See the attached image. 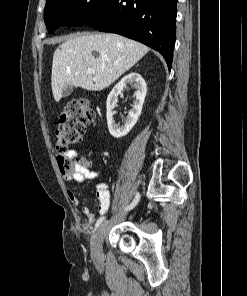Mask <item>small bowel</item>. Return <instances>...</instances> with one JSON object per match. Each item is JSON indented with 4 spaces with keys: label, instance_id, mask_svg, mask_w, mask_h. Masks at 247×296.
Wrapping results in <instances>:
<instances>
[{
    "label": "small bowel",
    "instance_id": "obj_1",
    "mask_svg": "<svg viewBox=\"0 0 247 296\" xmlns=\"http://www.w3.org/2000/svg\"><path fill=\"white\" fill-rule=\"evenodd\" d=\"M77 155H78V153L74 150H69L66 152V156L71 159L76 158ZM62 174H63L64 179H66V180L72 179L76 182H82L85 179L96 178L99 175V171L98 170H89L86 168L83 172L67 173V172L62 171ZM67 195L73 204H75V205L79 204V199L76 196V194L74 193V191H72L70 189L67 190ZM96 195L99 200L98 211L101 215H105L108 212L109 207H110V192H109L107 183L100 182L97 184ZM82 212L87 217V219L90 223H93L96 221L97 216L94 212H92L89 205H84L82 208Z\"/></svg>",
    "mask_w": 247,
    "mask_h": 296
}]
</instances>
